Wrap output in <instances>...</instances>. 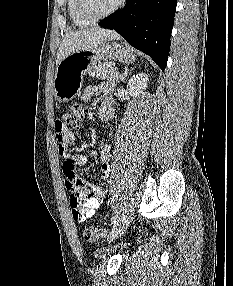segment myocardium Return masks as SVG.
<instances>
[{"instance_id":"myocardium-1","label":"myocardium","mask_w":233,"mask_h":286,"mask_svg":"<svg viewBox=\"0 0 233 286\" xmlns=\"http://www.w3.org/2000/svg\"><path fill=\"white\" fill-rule=\"evenodd\" d=\"M77 1H78V12L81 15V17L90 23H94L114 14L124 5L126 0H118L111 9L97 16H93L88 12L86 0H77Z\"/></svg>"}]
</instances>
